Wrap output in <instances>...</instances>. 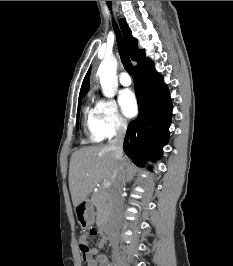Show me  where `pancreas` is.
Segmentation results:
<instances>
[{
	"label": "pancreas",
	"instance_id": "obj_1",
	"mask_svg": "<svg viewBox=\"0 0 233 266\" xmlns=\"http://www.w3.org/2000/svg\"><path fill=\"white\" fill-rule=\"evenodd\" d=\"M91 200L97 208V221H103L110 211L109 192L105 189H99L96 193H93Z\"/></svg>",
	"mask_w": 233,
	"mask_h": 266
}]
</instances>
